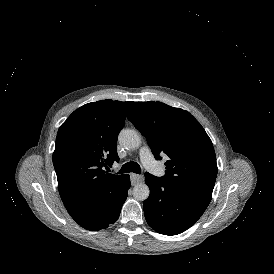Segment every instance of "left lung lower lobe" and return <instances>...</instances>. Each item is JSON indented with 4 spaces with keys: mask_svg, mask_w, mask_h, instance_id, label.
<instances>
[{
    "mask_svg": "<svg viewBox=\"0 0 274 274\" xmlns=\"http://www.w3.org/2000/svg\"><path fill=\"white\" fill-rule=\"evenodd\" d=\"M145 182L150 188L143 202L145 218L161 234L177 235L190 228L211 200L208 195L185 190L149 173Z\"/></svg>",
    "mask_w": 274,
    "mask_h": 274,
    "instance_id": "obj_1",
    "label": "left lung lower lobe"
}]
</instances>
